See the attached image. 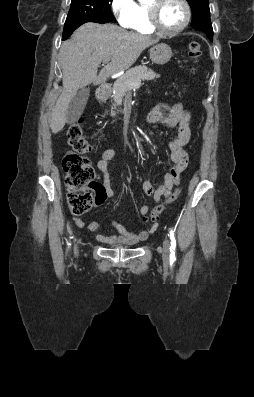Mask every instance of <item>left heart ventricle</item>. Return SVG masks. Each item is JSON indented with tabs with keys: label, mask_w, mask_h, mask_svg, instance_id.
<instances>
[{
	"label": "left heart ventricle",
	"mask_w": 254,
	"mask_h": 397,
	"mask_svg": "<svg viewBox=\"0 0 254 397\" xmlns=\"http://www.w3.org/2000/svg\"><path fill=\"white\" fill-rule=\"evenodd\" d=\"M183 19L184 8L178 0H165L158 8V20L164 29H176Z\"/></svg>",
	"instance_id": "obj_1"
}]
</instances>
